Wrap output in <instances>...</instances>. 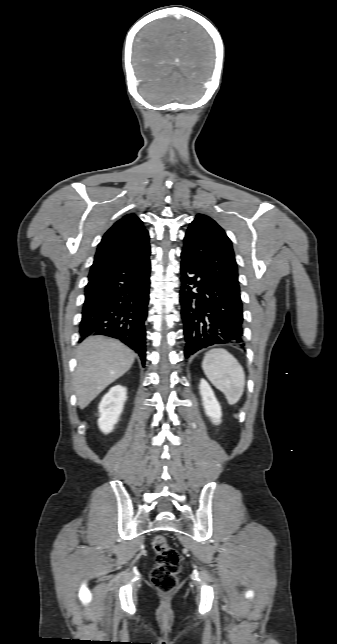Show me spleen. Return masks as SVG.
Listing matches in <instances>:
<instances>
[{"mask_svg":"<svg viewBox=\"0 0 337 644\" xmlns=\"http://www.w3.org/2000/svg\"><path fill=\"white\" fill-rule=\"evenodd\" d=\"M202 369L230 405L239 401L244 392L245 373L233 355L225 349L210 350L204 356Z\"/></svg>","mask_w":337,"mask_h":644,"instance_id":"obj_1","label":"spleen"}]
</instances>
